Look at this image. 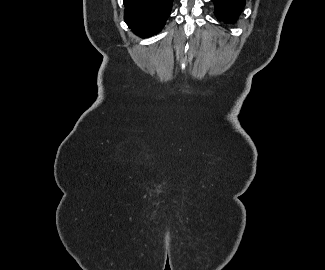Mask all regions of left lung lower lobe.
Listing matches in <instances>:
<instances>
[{"label":"left lung lower lobe","instance_id":"0a47b994","mask_svg":"<svg viewBox=\"0 0 325 270\" xmlns=\"http://www.w3.org/2000/svg\"><path fill=\"white\" fill-rule=\"evenodd\" d=\"M215 5V15L225 23L234 22L240 15L245 0H212Z\"/></svg>","mask_w":325,"mask_h":270}]
</instances>
